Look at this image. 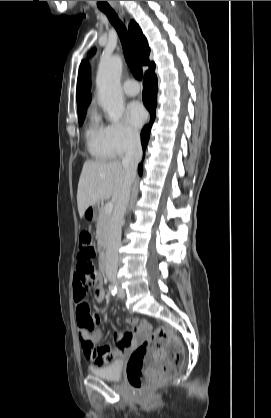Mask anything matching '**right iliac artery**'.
<instances>
[{
	"label": "right iliac artery",
	"mask_w": 271,
	"mask_h": 418,
	"mask_svg": "<svg viewBox=\"0 0 271 418\" xmlns=\"http://www.w3.org/2000/svg\"><path fill=\"white\" fill-rule=\"evenodd\" d=\"M109 291L111 292L112 295H115L117 293V287L114 284H110L109 285Z\"/></svg>",
	"instance_id": "82829eb1"
}]
</instances>
